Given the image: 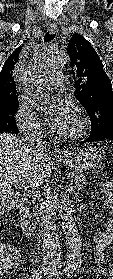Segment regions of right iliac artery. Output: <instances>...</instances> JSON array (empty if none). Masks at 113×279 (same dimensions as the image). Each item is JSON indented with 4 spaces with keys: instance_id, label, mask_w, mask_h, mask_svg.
Here are the masks:
<instances>
[{
    "instance_id": "82829eb1",
    "label": "right iliac artery",
    "mask_w": 113,
    "mask_h": 279,
    "mask_svg": "<svg viewBox=\"0 0 113 279\" xmlns=\"http://www.w3.org/2000/svg\"><path fill=\"white\" fill-rule=\"evenodd\" d=\"M41 276H40V271L39 269L38 270H34L31 275H30V278L29 279H40Z\"/></svg>"
}]
</instances>
